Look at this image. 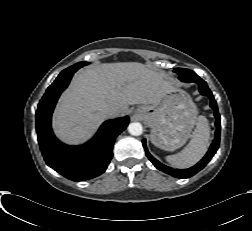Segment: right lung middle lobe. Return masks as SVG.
Instances as JSON below:
<instances>
[{
  "label": "right lung middle lobe",
  "mask_w": 252,
  "mask_h": 231,
  "mask_svg": "<svg viewBox=\"0 0 252 231\" xmlns=\"http://www.w3.org/2000/svg\"><path fill=\"white\" fill-rule=\"evenodd\" d=\"M87 64H89L88 62H79V63H76V64H74V65H72V67H78V68H80V67H82V66H84V65H87ZM71 67V66H70ZM69 68V67H68ZM65 70H63L60 74H59V76L58 77H60L62 74H63V72H64ZM57 77V78H58Z\"/></svg>",
  "instance_id": "dd1d6c3e"
}]
</instances>
